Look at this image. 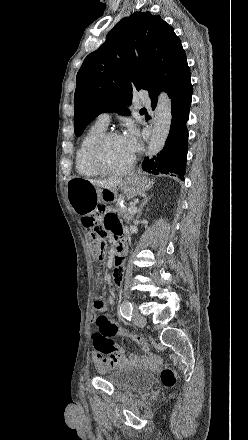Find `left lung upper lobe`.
Wrapping results in <instances>:
<instances>
[{
	"mask_svg": "<svg viewBox=\"0 0 248 440\" xmlns=\"http://www.w3.org/2000/svg\"><path fill=\"white\" fill-rule=\"evenodd\" d=\"M190 76L180 39L167 22L150 12L125 17L77 73L74 133L80 136L101 113L130 114L134 89L147 90L152 102Z\"/></svg>",
	"mask_w": 248,
	"mask_h": 440,
	"instance_id": "5c2ea615",
	"label": "left lung upper lobe"
}]
</instances>
